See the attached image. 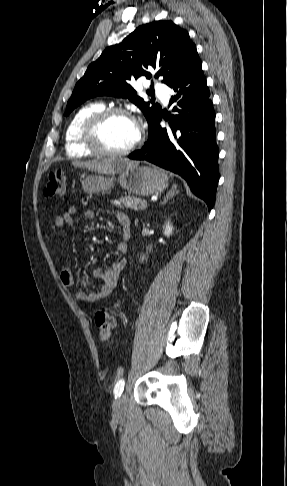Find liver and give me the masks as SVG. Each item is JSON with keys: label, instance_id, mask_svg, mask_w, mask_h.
I'll list each match as a JSON object with an SVG mask.
<instances>
[{"label": "liver", "instance_id": "6515ba94", "mask_svg": "<svg viewBox=\"0 0 287 486\" xmlns=\"http://www.w3.org/2000/svg\"><path fill=\"white\" fill-rule=\"evenodd\" d=\"M138 161H131L127 158H111L102 161H73L72 165L97 172L99 174L114 175L120 173L125 168L138 165Z\"/></svg>", "mask_w": 287, "mask_h": 486}]
</instances>
